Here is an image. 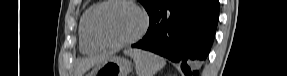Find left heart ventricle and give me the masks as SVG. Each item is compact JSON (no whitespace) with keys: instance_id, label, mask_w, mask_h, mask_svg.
<instances>
[{"instance_id":"1","label":"left heart ventricle","mask_w":287,"mask_h":76,"mask_svg":"<svg viewBox=\"0 0 287 76\" xmlns=\"http://www.w3.org/2000/svg\"><path fill=\"white\" fill-rule=\"evenodd\" d=\"M141 24V15L133 7L125 3H114L99 14L96 30L104 40L117 42L135 35Z\"/></svg>"}]
</instances>
